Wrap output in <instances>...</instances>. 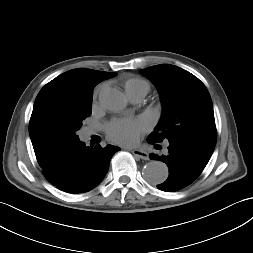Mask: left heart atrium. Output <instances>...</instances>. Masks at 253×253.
<instances>
[{"instance_id":"39dd6f15","label":"left heart atrium","mask_w":253,"mask_h":253,"mask_svg":"<svg viewBox=\"0 0 253 253\" xmlns=\"http://www.w3.org/2000/svg\"><path fill=\"white\" fill-rule=\"evenodd\" d=\"M149 126V122L144 118L118 119L107 126V135L114 142L130 145L135 143Z\"/></svg>"}]
</instances>
